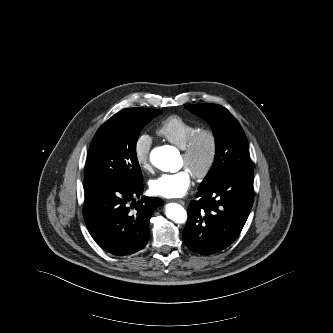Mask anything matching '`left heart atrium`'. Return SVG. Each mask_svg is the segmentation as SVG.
<instances>
[{"label": "left heart atrium", "mask_w": 333, "mask_h": 333, "mask_svg": "<svg viewBox=\"0 0 333 333\" xmlns=\"http://www.w3.org/2000/svg\"><path fill=\"white\" fill-rule=\"evenodd\" d=\"M191 186V174L187 169L175 173L163 174L150 181V190L154 195L164 198L184 196Z\"/></svg>", "instance_id": "39dd6f15"}]
</instances>
